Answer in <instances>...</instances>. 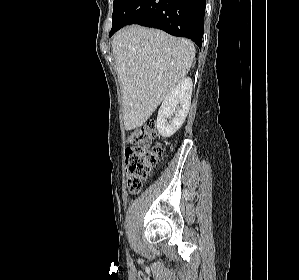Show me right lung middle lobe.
I'll return each mask as SVG.
<instances>
[{
	"instance_id": "obj_1",
	"label": "right lung middle lobe",
	"mask_w": 299,
	"mask_h": 280,
	"mask_svg": "<svg viewBox=\"0 0 299 280\" xmlns=\"http://www.w3.org/2000/svg\"><path fill=\"white\" fill-rule=\"evenodd\" d=\"M125 0H114L113 2V14L112 19L114 20L115 16L117 15L121 5L123 4Z\"/></svg>"
}]
</instances>
